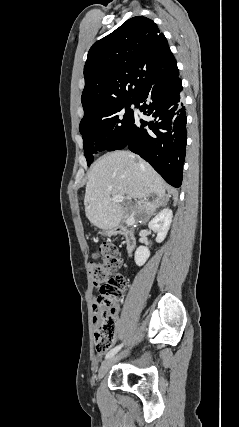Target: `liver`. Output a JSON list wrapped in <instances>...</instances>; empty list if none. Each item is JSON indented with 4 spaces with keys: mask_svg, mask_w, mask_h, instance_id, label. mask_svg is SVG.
Here are the masks:
<instances>
[{
    "mask_svg": "<svg viewBox=\"0 0 239 427\" xmlns=\"http://www.w3.org/2000/svg\"><path fill=\"white\" fill-rule=\"evenodd\" d=\"M139 199L136 209H127L112 197ZM155 196L153 202H144ZM165 183L161 176L144 160L129 151H115L100 157L89 170L84 198L85 213L96 227L111 230L132 212L145 210L151 216L164 205Z\"/></svg>",
    "mask_w": 239,
    "mask_h": 427,
    "instance_id": "liver-1",
    "label": "liver"
}]
</instances>
